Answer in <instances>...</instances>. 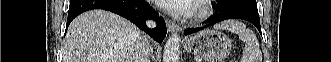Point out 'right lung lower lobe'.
Segmentation results:
<instances>
[{
  "instance_id": "98d812e1",
  "label": "right lung lower lobe",
  "mask_w": 331,
  "mask_h": 62,
  "mask_svg": "<svg viewBox=\"0 0 331 62\" xmlns=\"http://www.w3.org/2000/svg\"><path fill=\"white\" fill-rule=\"evenodd\" d=\"M92 9H103L125 17L159 43L166 36L164 19L144 0H71L66 27L76 16ZM147 19L155 20L158 23L156 28H147Z\"/></svg>"
}]
</instances>
